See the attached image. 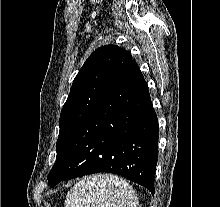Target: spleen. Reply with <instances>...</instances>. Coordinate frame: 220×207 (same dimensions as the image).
Here are the masks:
<instances>
[{"label": "spleen", "instance_id": "1", "mask_svg": "<svg viewBox=\"0 0 220 207\" xmlns=\"http://www.w3.org/2000/svg\"><path fill=\"white\" fill-rule=\"evenodd\" d=\"M129 183L113 174H97L79 181L68 192L65 207H138Z\"/></svg>", "mask_w": 220, "mask_h": 207}]
</instances>
